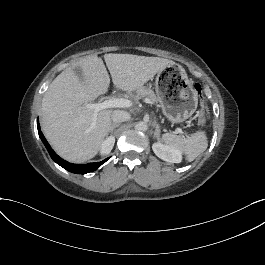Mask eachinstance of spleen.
I'll return each instance as SVG.
<instances>
[{
    "label": "spleen",
    "instance_id": "obj_1",
    "mask_svg": "<svg viewBox=\"0 0 265 265\" xmlns=\"http://www.w3.org/2000/svg\"><path fill=\"white\" fill-rule=\"evenodd\" d=\"M162 141L184 151L188 161H192L207 148V137L203 131H198L186 139L175 134L165 133L162 135Z\"/></svg>",
    "mask_w": 265,
    "mask_h": 265
}]
</instances>
